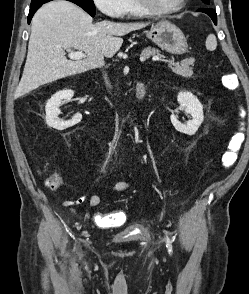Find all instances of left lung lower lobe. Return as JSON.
I'll list each match as a JSON object with an SVG mask.
<instances>
[{"label":"left lung lower lobe","instance_id":"1","mask_svg":"<svg viewBox=\"0 0 249 294\" xmlns=\"http://www.w3.org/2000/svg\"><path fill=\"white\" fill-rule=\"evenodd\" d=\"M198 11L209 15L211 17V19L213 20L214 24H217V15L213 9L204 8V9H199Z\"/></svg>","mask_w":249,"mask_h":294}]
</instances>
